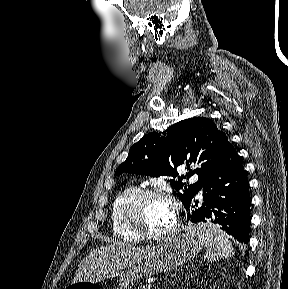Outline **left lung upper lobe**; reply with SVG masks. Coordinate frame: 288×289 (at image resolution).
<instances>
[{"instance_id":"1","label":"left lung upper lobe","mask_w":288,"mask_h":289,"mask_svg":"<svg viewBox=\"0 0 288 289\" xmlns=\"http://www.w3.org/2000/svg\"><path fill=\"white\" fill-rule=\"evenodd\" d=\"M229 144L228 137L205 117L182 120L164 132H153L143 136L129 149V154L115 174L124 172L149 175L153 177H178L171 179L178 196L186 206L197 194L203 181L221 160ZM187 160L188 173L178 176L176 168ZM197 168L189 170V165ZM198 181L192 185L182 182L193 174Z\"/></svg>"}]
</instances>
